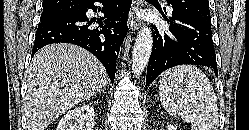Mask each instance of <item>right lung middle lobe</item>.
I'll use <instances>...</instances> for the list:
<instances>
[{
  "mask_svg": "<svg viewBox=\"0 0 249 130\" xmlns=\"http://www.w3.org/2000/svg\"><path fill=\"white\" fill-rule=\"evenodd\" d=\"M78 9L71 10V11H53V12H42L41 14V21H48L53 19L62 18L68 15H71Z\"/></svg>",
  "mask_w": 249,
  "mask_h": 130,
  "instance_id": "dd1d6c3e",
  "label": "right lung middle lobe"
}]
</instances>
